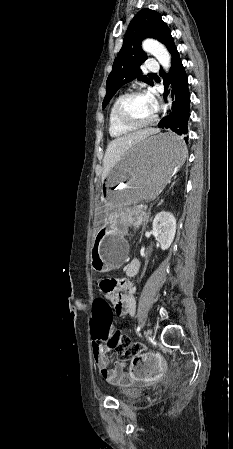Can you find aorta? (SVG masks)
I'll return each mask as SVG.
<instances>
[{
	"label": "aorta",
	"instance_id": "obj_1",
	"mask_svg": "<svg viewBox=\"0 0 233 449\" xmlns=\"http://www.w3.org/2000/svg\"><path fill=\"white\" fill-rule=\"evenodd\" d=\"M142 48L145 52L156 57L164 70L169 71L171 57L164 45L153 39H147L143 42Z\"/></svg>",
	"mask_w": 233,
	"mask_h": 449
}]
</instances>
